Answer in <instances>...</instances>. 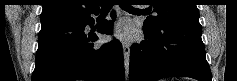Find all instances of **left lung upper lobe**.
Wrapping results in <instances>:
<instances>
[{"mask_svg":"<svg viewBox=\"0 0 237 81\" xmlns=\"http://www.w3.org/2000/svg\"><path fill=\"white\" fill-rule=\"evenodd\" d=\"M156 17L149 16L144 26L155 29L168 22H188L199 24V11L195 0H152Z\"/></svg>","mask_w":237,"mask_h":81,"instance_id":"1","label":"left lung upper lobe"}]
</instances>
